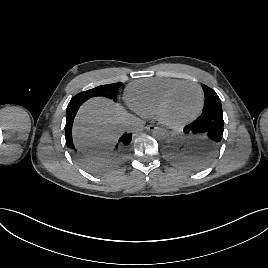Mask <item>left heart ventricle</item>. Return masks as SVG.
<instances>
[{"label":"left heart ventricle","instance_id":"obj_1","mask_svg":"<svg viewBox=\"0 0 268 268\" xmlns=\"http://www.w3.org/2000/svg\"><path fill=\"white\" fill-rule=\"evenodd\" d=\"M199 91L193 86L178 90L170 99L165 116L170 120H180L190 116L199 104Z\"/></svg>","mask_w":268,"mask_h":268}]
</instances>
